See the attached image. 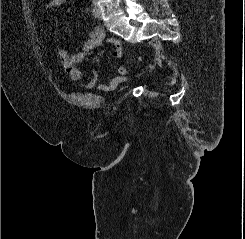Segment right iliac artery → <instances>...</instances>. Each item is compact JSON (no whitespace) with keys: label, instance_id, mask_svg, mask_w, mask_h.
<instances>
[{"label":"right iliac artery","instance_id":"82829eb1","mask_svg":"<svg viewBox=\"0 0 245 239\" xmlns=\"http://www.w3.org/2000/svg\"><path fill=\"white\" fill-rule=\"evenodd\" d=\"M91 8H92V13H93L94 17H95V18H98V17H97V14H96V12H95V8H94L92 5H91Z\"/></svg>","mask_w":245,"mask_h":239}]
</instances>
